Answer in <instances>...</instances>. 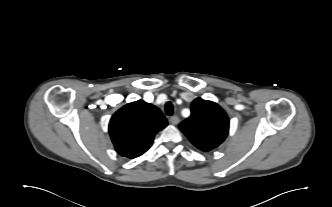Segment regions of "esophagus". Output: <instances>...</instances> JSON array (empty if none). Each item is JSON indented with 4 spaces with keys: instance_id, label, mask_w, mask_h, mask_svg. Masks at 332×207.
I'll return each mask as SVG.
<instances>
[{
    "instance_id": "34e87169",
    "label": "esophagus",
    "mask_w": 332,
    "mask_h": 207,
    "mask_svg": "<svg viewBox=\"0 0 332 207\" xmlns=\"http://www.w3.org/2000/svg\"><path fill=\"white\" fill-rule=\"evenodd\" d=\"M169 122L173 125H177L179 123V118L177 116H172L169 118Z\"/></svg>"
}]
</instances>
